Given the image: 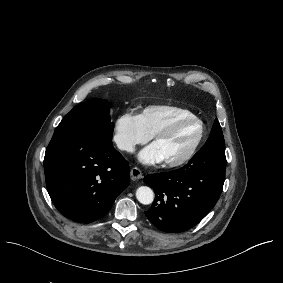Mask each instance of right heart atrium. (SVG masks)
Listing matches in <instances>:
<instances>
[{
    "mask_svg": "<svg viewBox=\"0 0 283 283\" xmlns=\"http://www.w3.org/2000/svg\"><path fill=\"white\" fill-rule=\"evenodd\" d=\"M151 136L141 116L133 112L119 113L112 121V142L120 151L131 153L138 144L145 143Z\"/></svg>",
    "mask_w": 283,
    "mask_h": 283,
    "instance_id": "1",
    "label": "right heart atrium"
}]
</instances>
